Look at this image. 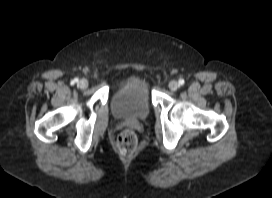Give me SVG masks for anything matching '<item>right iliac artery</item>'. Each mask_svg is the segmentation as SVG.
<instances>
[{
	"instance_id": "82829eb1",
	"label": "right iliac artery",
	"mask_w": 272,
	"mask_h": 198,
	"mask_svg": "<svg viewBox=\"0 0 272 198\" xmlns=\"http://www.w3.org/2000/svg\"><path fill=\"white\" fill-rule=\"evenodd\" d=\"M78 82V78H75L71 83L74 84V83H77Z\"/></svg>"
}]
</instances>
